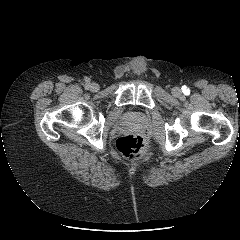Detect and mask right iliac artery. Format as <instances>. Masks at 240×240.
<instances>
[{
	"label": "right iliac artery",
	"mask_w": 240,
	"mask_h": 240,
	"mask_svg": "<svg viewBox=\"0 0 240 240\" xmlns=\"http://www.w3.org/2000/svg\"><path fill=\"white\" fill-rule=\"evenodd\" d=\"M87 86H89V82H87Z\"/></svg>",
	"instance_id": "obj_1"
}]
</instances>
